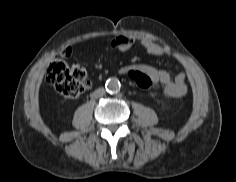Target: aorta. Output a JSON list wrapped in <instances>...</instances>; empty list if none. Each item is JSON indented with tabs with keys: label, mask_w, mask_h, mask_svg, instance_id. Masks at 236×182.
Wrapping results in <instances>:
<instances>
[{
	"label": "aorta",
	"mask_w": 236,
	"mask_h": 182,
	"mask_svg": "<svg viewBox=\"0 0 236 182\" xmlns=\"http://www.w3.org/2000/svg\"><path fill=\"white\" fill-rule=\"evenodd\" d=\"M120 82L117 78H110L106 81L105 87L109 93H115L120 89Z\"/></svg>",
	"instance_id": "1"
}]
</instances>
